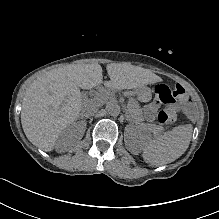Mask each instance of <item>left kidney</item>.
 <instances>
[{
  "label": "left kidney",
  "instance_id": "1",
  "mask_svg": "<svg viewBox=\"0 0 219 219\" xmlns=\"http://www.w3.org/2000/svg\"><path fill=\"white\" fill-rule=\"evenodd\" d=\"M136 136H137L139 142L148 139V136L144 135L142 132H137Z\"/></svg>",
  "mask_w": 219,
  "mask_h": 219
}]
</instances>
